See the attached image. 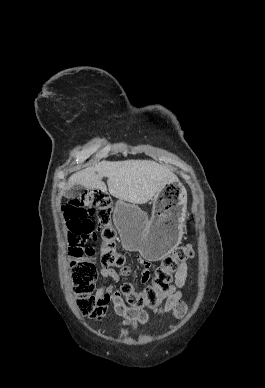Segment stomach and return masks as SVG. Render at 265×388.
Masks as SVG:
<instances>
[{
  "mask_svg": "<svg viewBox=\"0 0 265 388\" xmlns=\"http://www.w3.org/2000/svg\"><path fill=\"white\" fill-rule=\"evenodd\" d=\"M187 192L179 182H168L153 200L152 218L123 200L116 203L114 221L123 247L138 251L145 259L158 261L176 247L183 234Z\"/></svg>",
  "mask_w": 265,
  "mask_h": 388,
  "instance_id": "0dacf381",
  "label": "stomach"
}]
</instances>
